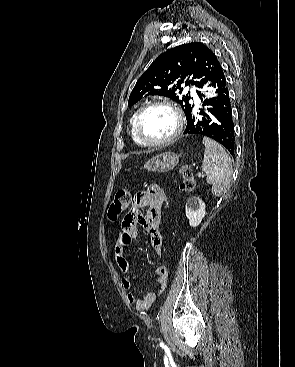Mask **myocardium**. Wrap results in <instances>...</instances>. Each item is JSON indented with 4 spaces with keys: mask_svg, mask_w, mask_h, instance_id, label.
I'll use <instances>...</instances> for the list:
<instances>
[{
    "mask_svg": "<svg viewBox=\"0 0 295 367\" xmlns=\"http://www.w3.org/2000/svg\"><path fill=\"white\" fill-rule=\"evenodd\" d=\"M157 106L166 107L172 111V113L174 114L176 118V128L169 137L163 140L149 141L145 139L141 133L140 122L146 110L152 107H157ZM183 126H184V118L180 110L174 104H172L169 101H165V100L152 101L142 106L136 113L135 121H134V131H135L136 137L138 138V140L140 141L142 145L149 146V147H161V146H165V145H168L174 142L182 133Z\"/></svg>",
    "mask_w": 295,
    "mask_h": 367,
    "instance_id": "1",
    "label": "myocardium"
}]
</instances>
